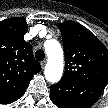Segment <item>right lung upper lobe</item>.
I'll list each match as a JSON object with an SVG mask.
<instances>
[{
    "label": "right lung upper lobe",
    "mask_w": 108,
    "mask_h": 108,
    "mask_svg": "<svg viewBox=\"0 0 108 108\" xmlns=\"http://www.w3.org/2000/svg\"><path fill=\"white\" fill-rule=\"evenodd\" d=\"M27 29L18 17L0 22V104L21 98L33 75L41 71L32 46L24 40Z\"/></svg>",
    "instance_id": "1"
}]
</instances>
